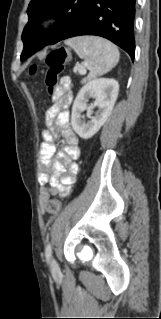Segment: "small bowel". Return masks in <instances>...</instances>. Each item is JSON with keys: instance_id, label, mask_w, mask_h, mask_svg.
<instances>
[{"instance_id": "c3829d8e", "label": "small bowel", "mask_w": 161, "mask_h": 319, "mask_svg": "<svg viewBox=\"0 0 161 319\" xmlns=\"http://www.w3.org/2000/svg\"><path fill=\"white\" fill-rule=\"evenodd\" d=\"M55 102L45 113V123L48 129L42 132L43 142L40 145L42 173L40 176V203L46 208V200L50 193L65 197L71 190V185L76 181L79 172L75 162L80 155L78 138L69 127V113L73 96L69 89L67 79L62 80L61 86L56 90ZM56 118V122L53 123ZM62 135L67 145L62 148L59 159L53 158L56 138ZM67 157L73 161L70 162ZM48 184V187L45 185Z\"/></svg>"}]
</instances>
